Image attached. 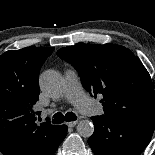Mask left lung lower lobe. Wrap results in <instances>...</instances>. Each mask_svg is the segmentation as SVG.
Returning <instances> with one entry per match:
<instances>
[{"mask_svg":"<svg viewBox=\"0 0 155 155\" xmlns=\"http://www.w3.org/2000/svg\"><path fill=\"white\" fill-rule=\"evenodd\" d=\"M94 133L88 139L95 155H140L155 128V117H92Z\"/></svg>","mask_w":155,"mask_h":155,"instance_id":"1","label":"left lung lower lobe"}]
</instances>
